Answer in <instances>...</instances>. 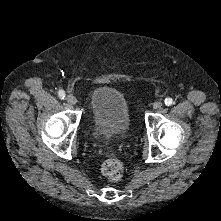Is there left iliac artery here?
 Masks as SVG:
<instances>
[{"label": "left iliac artery", "mask_w": 221, "mask_h": 221, "mask_svg": "<svg viewBox=\"0 0 221 221\" xmlns=\"http://www.w3.org/2000/svg\"><path fill=\"white\" fill-rule=\"evenodd\" d=\"M164 102L166 106H171L173 104L172 98H166Z\"/></svg>", "instance_id": "44dca946"}]
</instances>
